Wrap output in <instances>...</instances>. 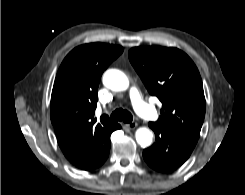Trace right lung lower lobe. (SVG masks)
<instances>
[{
  "instance_id": "1",
  "label": "right lung lower lobe",
  "mask_w": 245,
  "mask_h": 195,
  "mask_svg": "<svg viewBox=\"0 0 245 195\" xmlns=\"http://www.w3.org/2000/svg\"><path fill=\"white\" fill-rule=\"evenodd\" d=\"M120 128L121 126L118 124L115 130L120 129ZM109 151H110V135L105 137L103 140L101 154L99 157V166L105 162V160L107 159L109 155Z\"/></svg>"
}]
</instances>
